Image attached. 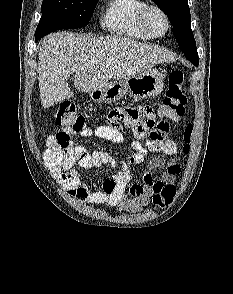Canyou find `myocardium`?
Segmentation results:
<instances>
[{
    "instance_id": "1",
    "label": "myocardium",
    "mask_w": 233,
    "mask_h": 294,
    "mask_svg": "<svg viewBox=\"0 0 233 294\" xmlns=\"http://www.w3.org/2000/svg\"><path fill=\"white\" fill-rule=\"evenodd\" d=\"M152 12L159 14L163 18V20L165 22L164 31L157 33L150 26L149 15ZM139 22H140V25L142 26V28L153 37H162V36L166 35L169 32L170 27H171V22H170L168 14L165 12L164 9H162L160 6L155 5V4H146L140 10Z\"/></svg>"
}]
</instances>
